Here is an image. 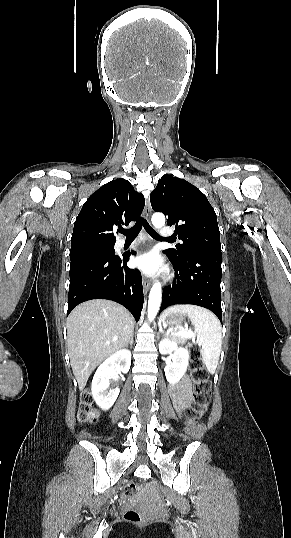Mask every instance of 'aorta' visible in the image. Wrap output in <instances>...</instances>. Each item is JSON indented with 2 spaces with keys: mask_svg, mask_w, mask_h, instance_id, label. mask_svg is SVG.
Listing matches in <instances>:
<instances>
[{
  "mask_svg": "<svg viewBox=\"0 0 291 538\" xmlns=\"http://www.w3.org/2000/svg\"><path fill=\"white\" fill-rule=\"evenodd\" d=\"M152 224L156 228L162 227L165 224L164 215L161 214V213H155L152 216ZM161 299H162L161 284L159 282H156L152 286V288L150 290V294H149L147 312H148V318H149L150 321H152L156 317V315H157V313L159 311V308H160Z\"/></svg>",
  "mask_w": 291,
  "mask_h": 538,
  "instance_id": "aorta-1",
  "label": "aorta"
}]
</instances>
